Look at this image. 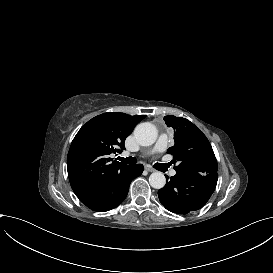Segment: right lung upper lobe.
<instances>
[{
  "label": "right lung upper lobe",
  "instance_id": "right-lung-upper-lobe-1",
  "mask_svg": "<svg viewBox=\"0 0 273 273\" xmlns=\"http://www.w3.org/2000/svg\"><path fill=\"white\" fill-rule=\"evenodd\" d=\"M145 117L104 113L78 131L68 152L67 168L71 187L81 202L98 193L110 176L128 166L111 161L109 154L125 148L126 137Z\"/></svg>",
  "mask_w": 273,
  "mask_h": 273
}]
</instances>
